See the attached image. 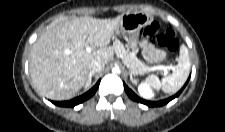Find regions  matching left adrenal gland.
<instances>
[{"instance_id":"a2214340","label":"left adrenal gland","mask_w":225,"mask_h":132,"mask_svg":"<svg viewBox=\"0 0 225 132\" xmlns=\"http://www.w3.org/2000/svg\"><path fill=\"white\" fill-rule=\"evenodd\" d=\"M130 80L133 84H136V80L133 79L132 73H130Z\"/></svg>"}]
</instances>
